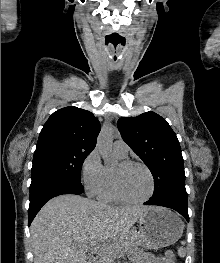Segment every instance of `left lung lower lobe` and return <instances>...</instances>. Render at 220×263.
<instances>
[{"instance_id": "1", "label": "left lung lower lobe", "mask_w": 220, "mask_h": 263, "mask_svg": "<svg viewBox=\"0 0 220 263\" xmlns=\"http://www.w3.org/2000/svg\"><path fill=\"white\" fill-rule=\"evenodd\" d=\"M144 204L145 205H158V206H163V207L174 209L177 212H179L189 222L187 204H181V203H177L175 201H170V200H152V199L145 202Z\"/></svg>"}]
</instances>
